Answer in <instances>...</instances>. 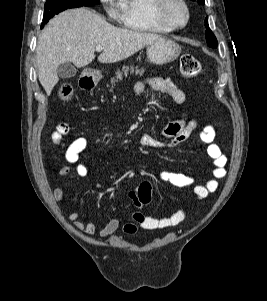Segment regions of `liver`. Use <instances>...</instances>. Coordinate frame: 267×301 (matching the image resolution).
<instances>
[{"instance_id": "liver-1", "label": "liver", "mask_w": 267, "mask_h": 301, "mask_svg": "<svg viewBox=\"0 0 267 301\" xmlns=\"http://www.w3.org/2000/svg\"><path fill=\"white\" fill-rule=\"evenodd\" d=\"M161 38L154 33L115 27L86 8L64 11L51 19L39 36L36 47L39 81L50 95L59 81L60 64L71 62L78 68L85 67L95 59L97 46L103 48L98 56L100 63H115Z\"/></svg>"}]
</instances>
